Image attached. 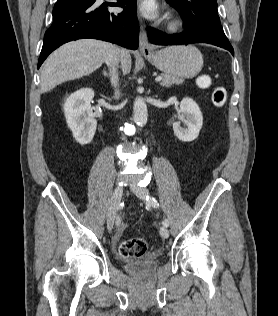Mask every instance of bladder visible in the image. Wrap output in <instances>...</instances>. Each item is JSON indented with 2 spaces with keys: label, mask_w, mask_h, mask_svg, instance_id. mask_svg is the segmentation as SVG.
<instances>
[{
  "label": "bladder",
  "mask_w": 278,
  "mask_h": 316,
  "mask_svg": "<svg viewBox=\"0 0 278 316\" xmlns=\"http://www.w3.org/2000/svg\"><path fill=\"white\" fill-rule=\"evenodd\" d=\"M157 264H158L157 261L149 260V261H146V262H144V263H142L140 265L128 264L127 265V269L132 271V270H135L137 268H141L146 273L151 274V273H153L156 270Z\"/></svg>",
  "instance_id": "bladder-1"
}]
</instances>
